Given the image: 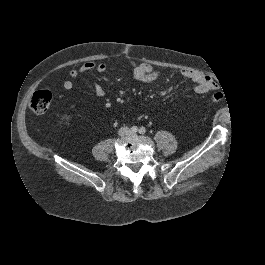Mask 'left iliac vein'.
I'll list each match as a JSON object with an SVG mask.
<instances>
[{
	"label": "left iliac vein",
	"instance_id": "left-iliac-vein-1",
	"mask_svg": "<svg viewBox=\"0 0 265 265\" xmlns=\"http://www.w3.org/2000/svg\"><path fill=\"white\" fill-rule=\"evenodd\" d=\"M137 135L136 132H130L129 136L135 137Z\"/></svg>",
	"mask_w": 265,
	"mask_h": 265
}]
</instances>
